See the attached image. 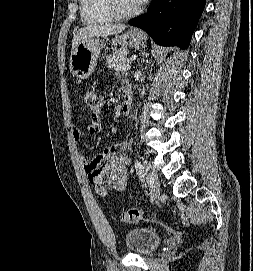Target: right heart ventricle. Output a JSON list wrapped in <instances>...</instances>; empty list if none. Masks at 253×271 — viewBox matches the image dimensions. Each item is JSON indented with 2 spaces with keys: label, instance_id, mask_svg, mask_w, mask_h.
I'll return each mask as SVG.
<instances>
[{
  "label": "right heart ventricle",
  "instance_id": "right-heart-ventricle-1",
  "mask_svg": "<svg viewBox=\"0 0 253 271\" xmlns=\"http://www.w3.org/2000/svg\"><path fill=\"white\" fill-rule=\"evenodd\" d=\"M79 3L81 17L87 25L106 24L115 20L107 0H79Z\"/></svg>",
  "mask_w": 253,
  "mask_h": 271
}]
</instances>
